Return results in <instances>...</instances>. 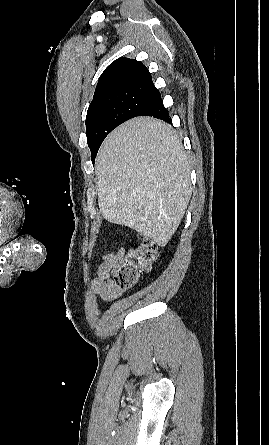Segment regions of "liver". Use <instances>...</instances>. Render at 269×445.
I'll list each match as a JSON object with an SVG mask.
<instances>
[{
	"label": "liver",
	"instance_id": "6515ba94",
	"mask_svg": "<svg viewBox=\"0 0 269 445\" xmlns=\"http://www.w3.org/2000/svg\"><path fill=\"white\" fill-rule=\"evenodd\" d=\"M95 170L102 216L165 246L192 194L190 161L175 130L154 118L131 119L105 139Z\"/></svg>",
	"mask_w": 269,
	"mask_h": 445
}]
</instances>
